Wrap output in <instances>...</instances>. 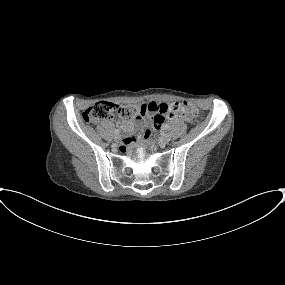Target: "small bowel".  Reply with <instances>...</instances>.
<instances>
[{"instance_id": "1", "label": "small bowel", "mask_w": 285, "mask_h": 285, "mask_svg": "<svg viewBox=\"0 0 285 285\" xmlns=\"http://www.w3.org/2000/svg\"><path fill=\"white\" fill-rule=\"evenodd\" d=\"M141 105H144L147 108V113H149V118L151 120L153 127L160 128L165 121L163 120V115L165 109L168 107V104L150 101ZM160 119L162 120L160 121ZM177 120L190 121V119L186 117H181L178 118ZM145 123H146L145 118L143 116H140L130 121L122 122L120 126L122 129L131 132L126 139L133 141L135 139V135L132 132L134 131V129L141 127ZM145 136H147V133H145Z\"/></svg>"}]
</instances>
